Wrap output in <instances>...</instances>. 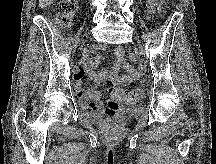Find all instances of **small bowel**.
I'll list each match as a JSON object with an SVG mask.
<instances>
[{
    "instance_id": "small-bowel-1",
    "label": "small bowel",
    "mask_w": 216,
    "mask_h": 164,
    "mask_svg": "<svg viewBox=\"0 0 216 164\" xmlns=\"http://www.w3.org/2000/svg\"><path fill=\"white\" fill-rule=\"evenodd\" d=\"M150 12L154 13L158 9V2L156 0H149ZM116 56L118 62L124 68L126 74L120 75L118 73V66H115L112 72L106 70L96 71L95 66L99 60V56L88 58L84 61L82 66L74 73L76 83V90L83 108L91 116L95 118L109 117L115 113L118 108V103L111 100L104 105L101 100L100 92L93 89H86V75L94 81L103 82L110 81L113 85H120L132 82L138 75L137 70L123 59L122 48H117Z\"/></svg>"
}]
</instances>
